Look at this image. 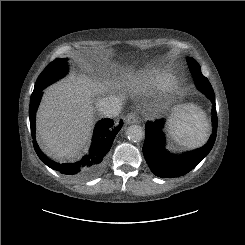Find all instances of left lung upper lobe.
Returning a JSON list of instances; mask_svg holds the SVG:
<instances>
[{
  "label": "left lung upper lobe",
  "mask_w": 245,
  "mask_h": 245,
  "mask_svg": "<svg viewBox=\"0 0 245 245\" xmlns=\"http://www.w3.org/2000/svg\"><path fill=\"white\" fill-rule=\"evenodd\" d=\"M187 62L197 87L202 91L212 87L208 79L202 75L199 64L191 57H187Z\"/></svg>",
  "instance_id": "5c2ea615"
}]
</instances>
